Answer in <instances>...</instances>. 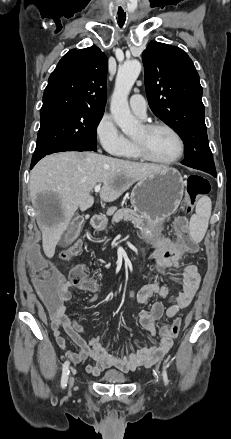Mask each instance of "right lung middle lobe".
<instances>
[{
	"mask_svg": "<svg viewBox=\"0 0 231 439\" xmlns=\"http://www.w3.org/2000/svg\"><path fill=\"white\" fill-rule=\"evenodd\" d=\"M103 114L104 110L76 109L41 117L35 153L96 151V129Z\"/></svg>",
	"mask_w": 231,
	"mask_h": 439,
	"instance_id": "1",
	"label": "right lung middle lobe"
}]
</instances>
